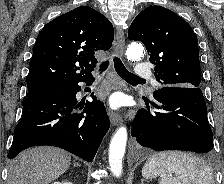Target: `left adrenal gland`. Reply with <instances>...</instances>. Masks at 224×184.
I'll return each mask as SVG.
<instances>
[{
	"label": "left adrenal gland",
	"mask_w": 224,
	"mask_h": 184,
	"mask_svg": "<svg viewBox=\"0 0 224 184\" xmlns=\"http://www.w3.org/2000/svg\"><path fill=\"white\" fill-rule=\"evenodd\" d=\"M141 184H144V179H141Z\"/></svg>",
	"instance_id": "a2214340"
}]
</instances>
